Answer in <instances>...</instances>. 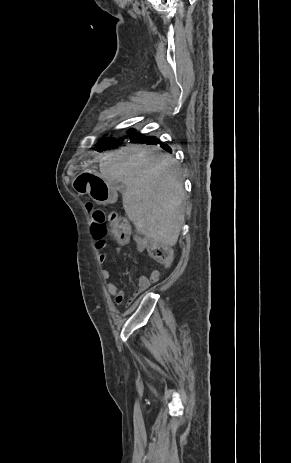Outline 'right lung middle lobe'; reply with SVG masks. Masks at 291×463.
Wrapping results in <instances>:
<instances>
[{
  "mask_svg": "<svg viewBox=\"0 0 291 463\" xmlns=\"http://www.w3.org/2000/svg\"><path fill=\"white\" fill-rule=\"evenodd\" d=\"M129 137L131 138V141L133 142H143L147 139H151L153 137H144L140 133H137L135 130H129L128 131ZM123 141V138H109V137H104L99 140L97 144V150L101 149H106V148H115L117 147L118 144H121Z\"/></svg>",
  "mask_w": 291,
  "mask_h": 463,
  "instance_id": "1",
  "label": "right lung middle lobe"
}]
</instances>
